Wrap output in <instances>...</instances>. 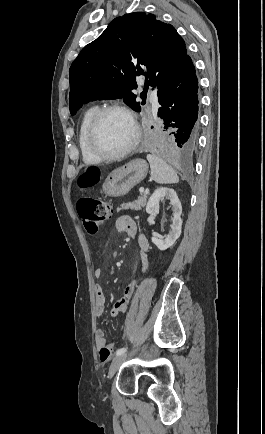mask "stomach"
<instances>
[{"instance_id": "stomach-1", "label": "stomach", "mask_w": 265, "mask_h": 434, "mask_svg": "<svg viewBox=\"0 0 265 434\" xmlns=\"http://www.w3.org/2000/svg\"><path fill=\"white\" fill-rule=\"evenodd\" d=\"M148 172V164L141 158H136L132 162H128L122 168L114 170L107 176L103 186L102 192L111 198H118V196H125L130 192L133 186L139 184L141 180L146 178Z\"/></svg>"}]
</instances>
